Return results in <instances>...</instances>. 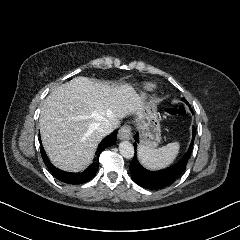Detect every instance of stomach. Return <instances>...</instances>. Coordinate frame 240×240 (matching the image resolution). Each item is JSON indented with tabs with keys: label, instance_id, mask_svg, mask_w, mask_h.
Wrapping results in <instances>:
<instances>
[{
	"label": "stomach",
	"instance_id": "0dacf381",
	"mask_svg": "<svg viewBox=\"0 0 240 240\" xmlns=\"http://www.w3.org/2000/svg\"><path fill=\"white\" fill-rule=\"evenodd\" d=\"M144 109L138 119L140 145L155 148L161 141V128L157 116V100L142 95Z\"/></svg>",
	"mask_w": 240,
	"mask_h": 240
}]
</instances>
